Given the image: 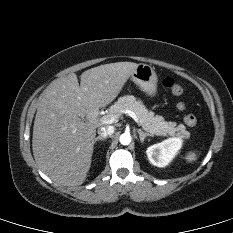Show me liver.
Masks as SVG:
<instances>
[{
  "mask_svg": "<svg viewBox=\"0 0 233 233\" xmlns=\"http://www.w3.org/2000/svg\"><path fill=\"white\" fill-rule=\"evenodd\" d=\"M138 64L117 62L71 73L42 94L33 126L32 149L39 169L64 186L81 185L91 167L96 126L89 112L110 104Z\"/></svg>",
  "mask_w": 233,
  "mask_h": 233,
  "instance_id": "liver-1",
  "label": "liver"
}]
</instances>
